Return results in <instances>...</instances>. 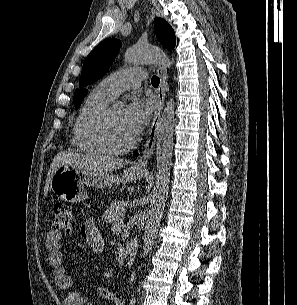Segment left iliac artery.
<instances>
[{
  "instance_id": "44dca946",
  "label": "left iliac artery",
  "mask_w": 297,
  "mask_h": 305,
  "mask_svg": "<svg viewBox=\"0 0 297 305\" xmlns=\"http://www.w3.org/2000/svg\"><path fill=\"white\" fill-rule=\"evenodd\" d=\"M130 305H135V298H131Z\"/></svg>"
}]
</instances>
